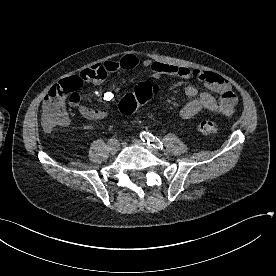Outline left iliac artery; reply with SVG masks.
<instances>
[{"label":"left iliac artery","instance_id":"1","mask_svg":"<svg viewBox=\"0 0 276 276\" xmlns=\"http://www.w3.org/2000/svg\"><path fill=\"white\" fill-rule=\"evenodd\" d=\"M140 138L147 144H151L154 148L163 150V143L151 133L143 131L140 133Z\"/></svg>","mask_w":276,"mask_h":276}]
</instances>
